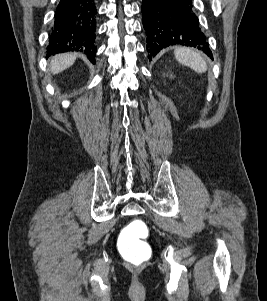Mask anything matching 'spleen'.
<instances>
[{
    "label": "spleen",
    "mask_w": 267,
    "mask_h": 301,
    "mask_svg": "<svg viewBox=\"0 0 267 301\" xmlns=\"http://www.w3.org/2000/svg\"><path fill=\"white\" fill-rule=\"evenodd\" d=\"M174 55L180 64L190 67L197 73H204L207 70V64L203 57L192 49L176 48Z\"/></svg>",
    "instance_id": "spleen-1"
}]
</instances>
